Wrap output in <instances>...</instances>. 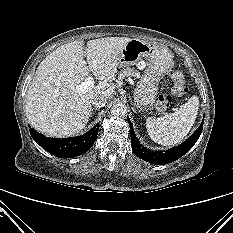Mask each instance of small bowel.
<instances>
[{
    "label": "small bowel",
    "instance_id": "small-bowel-1",
    "mask_svg": "<svg viewBox=\"0 0 233 233\" xmlns=\"http://www.w3.org/2000/svg\"><path fill=\"white\" fill-rule=\"evenodd\" d=\"M138 65H139L140 68H143L144 65H145V63L144 62H140Z\"/></svg>",
    "mask_w": 233,
    "mask_h": 233
}]
</instances>
